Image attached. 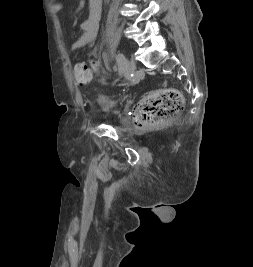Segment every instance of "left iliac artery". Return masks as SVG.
<instances>
[{
    "label": "left iliac artery",
    "instance_id": "44dca946",
    "mask_svg": "<svg viewBox=\"0 0 253 267\" xmlns=\"http://www.w3.org/2000/svg\"><path fill=\"white\" fill-rule=\"evenodd\" d=\"M116 60H117L119 69L121 70V72H123L126 67V61H127L126 57L123 54L122 57H116Z\"/></svg>",
    "mask_w": 253,
    "mask_h": 267
}]
</instances>
